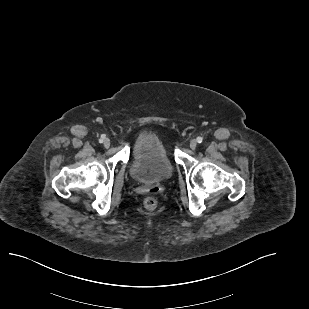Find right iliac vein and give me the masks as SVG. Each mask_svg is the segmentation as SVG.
Wrapping results in <instances>:
<instances>
[{"instance_id": "right-iliac-vein-1", "label": "right iliac vein", "mask_w": 309, "mask_h": 309, "mask_svg": "<svg viewBox=\"0 0 309 309\" xmlns=\"http://www.w3.org/2000/svg\"><path fill=\"white\" fill-rule=\"evenodd\" d=\"M103 145H104V147L108 148L110 146V140L108 138H105L103 140Z\"/></svg>"}]
</instances>
